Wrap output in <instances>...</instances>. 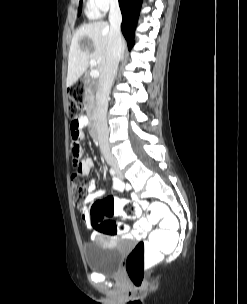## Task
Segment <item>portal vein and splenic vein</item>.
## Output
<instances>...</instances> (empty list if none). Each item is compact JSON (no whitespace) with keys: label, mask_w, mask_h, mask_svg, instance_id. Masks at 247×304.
I'll list each match as a JSON object with an SVG mask.
<instances>
[{"label":"portal vein and splenic vein","mask_w":247,"mask_h":304,"mask_svg":"<svg viewBox=\"0 0 247 304\" xmlns=\"http://www.w3.org/2000/svg\"><path fill=\"white\" fill-rule=\"evenodd\" d=\"M96 64H97V63H96V61H95L94 59H91V60H90V66H91V67H95ZM90 76H91L92 78L98 77V76H99V71H98L97 69H92L91 72H90Z\"/></svg>","instance_id":"portal-vein-and-splenic-vein-1"}]
</instances>
